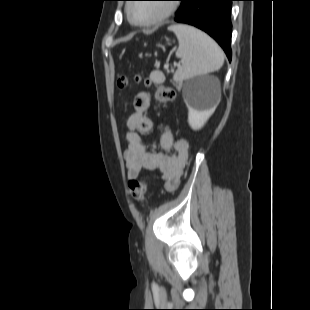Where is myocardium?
Listing matches in <instances>:
<instances>
[{
	"instance_id": "obj_1",
	"label": "myocardium",
	"mask_w": 310,
	"mask_h": 310,
	"mask_svg": "<svg viewBox=\"0 0 310 310\" xmlns=\"http://www.w3.org/2000/svg\"><path fill=\"white\" fill-rule=\"evenodd\" d=\"M134 4H128L126 7V14L128 17V20L130 21V23H132L135 26H139V27H152L155 25H159L162 22H164L166 19H168L171 15H173L176 11V6L173 5L171 2H168L165 5V9L163 11V13L161 15H159L158 17L149 20V21H136L133 17H132V13H131V9L132 6Z\"/></svg>"
}]
</instances>
